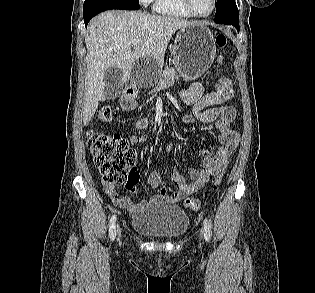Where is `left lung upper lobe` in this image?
Returning a JSON list of instances; mask_svg holds the SVG:
<instances>
[{"mask_svg": "<svg viewBox=\"0 0 315 293\" xmlns=\"http://www.w3.org/2000/svg\"><path fill=\"white\" fill-rule=\"evenodd\" d=\"M215 22L221 24H239V13L235 0H217Z\"/></svg>", "mask_w": 315, "mask_h": 293, "instance_id": "left-lung-upper-lobe-1", "label": "left lung upper lobe"}]
</instances>
